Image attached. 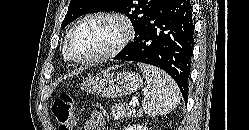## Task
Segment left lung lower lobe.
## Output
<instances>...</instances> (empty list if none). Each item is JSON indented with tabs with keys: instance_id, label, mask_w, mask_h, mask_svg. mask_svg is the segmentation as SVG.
Here are the masks:
<instances>
[{
	"instance_id": "0a47b994",
	"label": "left lung lower lobe",
	"mask_w": 249,
	"mask_h": 130,
	"mask_svg": "<svg viewBox=\"0 0 249 130\" xmlns=\"http://www.w3.org/2000/svg\"><path fill=\"white\" fill-rule=\"evenodd\" d=\"M194 46V23L189 0H164L145 20L134 42L114 59L137 61L166 71L188 99V80Z\"/></svg>"
}]
</instances>
